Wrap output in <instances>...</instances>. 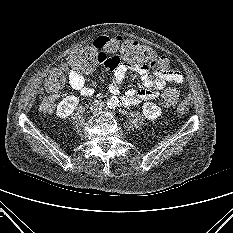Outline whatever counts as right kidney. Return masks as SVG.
<instances>
[{"instance_id":"ca27d5eb","label":"right kidney","mask_w":233,"mask_h":233,"mask_svg":"<svg viewBox=\"0 0 233 233\" xmlns=\"http://www.w3.org/2000/svg\"><path fill=\"white\" fill-rule=\"evenodd\" d=\"M79 103V98L76 96L65 97L57 106L56 114L60 118H66L70 116L75 107Z\"/></svg>"}]
</instances>
